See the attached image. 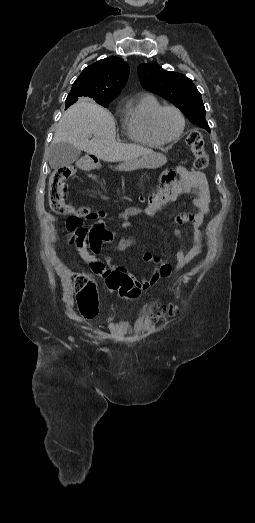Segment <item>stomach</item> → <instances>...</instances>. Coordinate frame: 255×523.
<instances>
[{"instance_id": "1", "label": "stomach", "mask_w": 255, "mask_h": 523, "mask_svg": "<svg viewBox=\"0 0 255 523\" xmlns=\"http://www.w3.org/2000/svg\"><path fill=\"white\" fill-rule=\"evenodd\" d=\"M166 163L165 155L160 151H146L144 158L129 160V162L121 164V168L126 172H131V170H142V168L164 167Z\"/></svg>"}]
</instances>
